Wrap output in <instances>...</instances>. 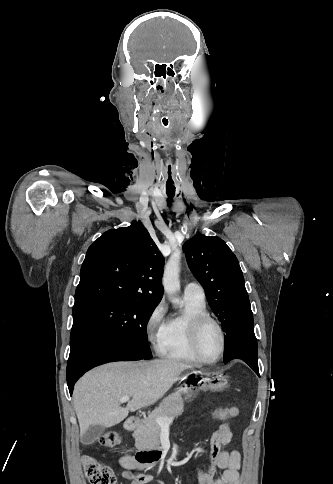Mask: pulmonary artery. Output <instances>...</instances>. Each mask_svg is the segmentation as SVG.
<instances>
[{
	"label": "pulmonary artery",
	"mask_w": 333,
	"mask_h": 484,
	"mask_svg": "<svg viewBox=\"0 0 333 484\" xmlns=\"http://www.w3.org/2000/svg\"><path fill=\"white\" fill-rule=\"evenodd\" d=\"M184 296L205 300V292L202 286L196 282H189L184 287Z\"/></svg>",
	"instance_id": "e3ab8cb5"
}]
</instances>
